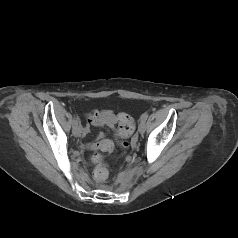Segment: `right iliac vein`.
<instances>
[{
	"mask_svg": "<svg viewBox=\"0 0 238 238\" xmlns=\"http://www.w3.org/2000/svg\"><path fill=\"white\" fill-rule=\"evenodd\" d=\"M72 132H73V135L75 137H79L81 135V132H82L81 126L80 125L73 126Z\"/></svg>",
	"mask_w": 238,
	"mask_h": 238,
	"instance_id": "obj_1",
	"label": "right iliac vein"
}]
</instances>
